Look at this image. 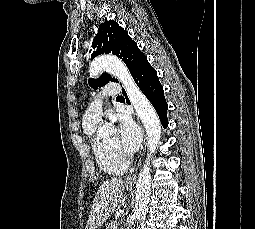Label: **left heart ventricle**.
<instances>
[{"mask_svg": "<svg viewBox=\"0 0 255 229\" xmlns=\"http://www.w3.org/2000/svg\"><path fill=\"white\" fill-rule=\"evenodd\" d=\"M110 148H113V149H119L120 146H119V141L117 138L113 139L110 143L107 144Z\"/></svg>", "mask_w": 255, "mask_h": 229, "instance_id": "1", "label": "left heart ventricle"}]
</instances>
